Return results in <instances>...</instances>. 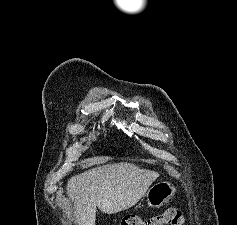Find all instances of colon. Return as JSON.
I'll list each match as a JSON object with an SVG mask.
<instances>
[{"mask_svg": "<svg viewBox=\"0 0 237 225\" xmlns=\"http://www.w3.org/2000/svg\"><path fill=\"white\" fill-rule=\"evenodd\" d=\"M182 213L177 208H169L165 212L147 220L137 215L125 216L120 225H184Z\"/></svg>", "mask_w": 237, "mask_h": 225, "instance_id": "1", "label": "colon"}]
</instances>
